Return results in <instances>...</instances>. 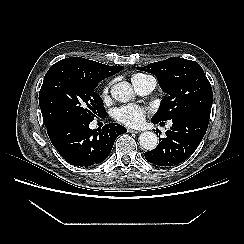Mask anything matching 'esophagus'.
Wrapping results in <instances>:
<instances>
[{
	"label": "esophagus",
	"instance_id": "obj_1",
	"mask_svg": "<svg viewBox=\"0 0 244 244\" xmlns=\"http://www.w3.org/2000/svg\"><path fill=\"white\" fill-rule=\"evenodd\" d=\"M129 133H139L138 130H135V129H131V128H128L127 130Z\"/></svg>",
	"mask_w": 244,
	"mask_h": 244
}]
</instances>
